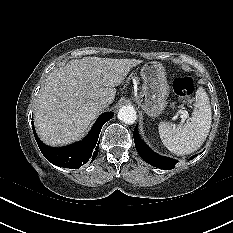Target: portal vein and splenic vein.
Here are the masks:
<instances>
[{
	"mask_svg": "<svg viewBox=\"0 0 233 233\" xmlns=\"http://www.w3.org/2000/svg\"><path fill=\"white\" fill-rule=\"evenodd\" d=\"M177 113L180 114L181 122H185V120L189 118V114L185 110H179Z\"/></svg>",
	"mask_w": 233,
	"mask_h": 233,
	"instance_id": "18ae733b",
	"label": "portal vein and splenic vein"
}]
</instances>
